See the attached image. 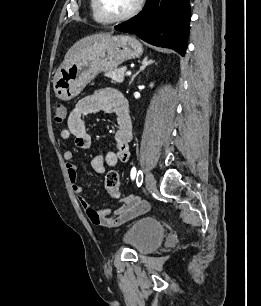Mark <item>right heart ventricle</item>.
<instances>
[{
	"label": "right heart ventricle",
	"instance_id": "right-heart-ventricle-1",
	"mask_svg": "<svg viewBox=\"0 0 261 306\" xmlns=\"http://www.w3.org/2000/svg\"><path fill=\"white\" fill-rule=\"evenodd\" d=\"M89 5H90V10H91V15L93 19L98 22V23H108V21L101 16V14L97 10L96 6V0H89Z\"/></svg>",
	"mask_w": 261,
	"mask_h": 306
}]
</instances>
